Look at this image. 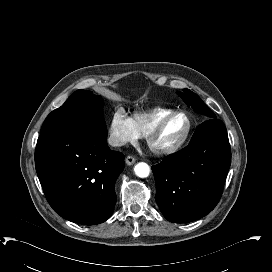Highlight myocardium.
I'll list each match as a JSON object with an SVG mask.
<instances>
[{
	"instance_id": "myocardium-1",
	"label": "myocardium",
	"mask_w": 272,
	"mask_h": 272,
	"mask_svg": "<svg viewBox=\"0 0 272 272\" xmlns=\"http://www.w3.org/2000/svg\"><path fill=\"white\" fill-rule=\"evenodd\" d=\"M176 116H183L187 120V129L180 141L176 144L169 146V147H156L154 145V139L163 131L167 123ZM193 128L192 119L190 116L184 111H174L168 115L162 117L152 128H150L146 133V140L149 148L157 155H170L178 151L181 147L185 145L188 141Z\"/></svg>"
}]
</instances>
